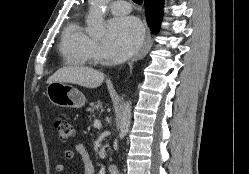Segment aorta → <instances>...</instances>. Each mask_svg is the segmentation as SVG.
<instances>
[{
    "label": "aorta",
    "mask_w": 249,
    "mask_h": 174,
    "mask_svg": "<svg viewBox=\"0 0 249 174\" xmlns=\"http://www.w3.org/2000/svg\"><path fill=\"white\" fill-rule=\"evenodd\" d=\"M110 0H90L89 14L87 17V30L92 36H100L105 31V23L102 8ZM131 124V102L127 101L122 110L120 132L126 136Z\"/></svg>",
    "instance_id": "aorta-1"
}]
</instances>
